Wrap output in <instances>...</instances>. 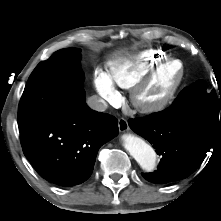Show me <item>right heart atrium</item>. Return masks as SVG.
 Masks as SVG:
<instances>
[{"mask_svg":"<svg viewBox=\"0 0 221 221\" xmlns=\"http://www.w3.org/2000/svg\"><path fill=\"white\" fill-rule=\"evenodd\" d=\"M94 84L97 92L105 102L114 103L118 100L119 92L107 73L99 69L96 70Z\"/></svg>","mask_w":221,"mask_h":221,"instance_id":"right-heart-atrium-1","label":"right heart atrium"}]
</instances>
